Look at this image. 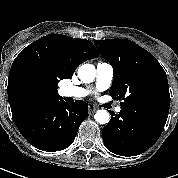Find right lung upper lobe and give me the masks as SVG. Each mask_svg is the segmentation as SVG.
Segmentation results:
<instances>
[{
    "instance_id": "1",
    "label": "right lung upper lobe",
    "mask_w": 178,
    "mask_h": 178,
    "mask_svg": "<svg viewBox=\"0 0 178 178\" xmlns=\"http://www.w3.org/2000/svg\"><path fill=\"white\" fill-rule=\"evenodd\" d=\"M98 55L85 39L48 34L36 40L20 52L11 66L7 88L11 111L29 101L59 97L54 86L72 78L81 63ZM31 80H40L45 87L33 92L29 88Z\"/></svg>"
}]
</instances>
